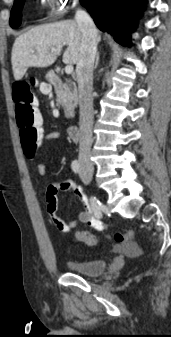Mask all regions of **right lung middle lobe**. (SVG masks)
<instances>
[{
  "mask_svg": "<svg viewBox=\"0 0 171 337\" xmlns=\"http://www.w3.org/2000/svg\"><path fill=\"white\" fill-rule=\"evenodd\" d=\"M25 0H15L10 15V25L12 28H17L21 23V9Z\"/></svg>",
  "mask_w": 171,
  "mask_h": 337,
  "instance_id": "obj_1",
  "label": "right lung middle lobe"
}]
</instances>
